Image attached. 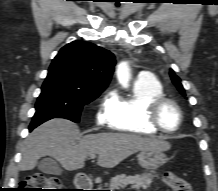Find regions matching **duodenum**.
Here are the masks:
<instances>
[{
  "label": "duodenum",
  "instance_id": "410a0bca",
  "mask_svg": "<svg viewBox=\"0 0 218 191\" xmlns=\"http://www.w3.org/2000/svg\"><path fill=\"white\" fill-rule=\"evenodd\" d=\"M75 185L78 189V191H89L92 187L91 180L88 176L84 174H80L75 179Z\"/></svg>",
  "mask_w": 218,
  "mask_h": 191
}]
</instances>
